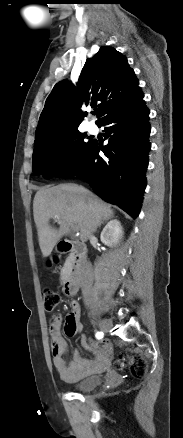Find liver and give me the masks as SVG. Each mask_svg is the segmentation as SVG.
<instances>
[{
	"mask_svg": "<svg viewBox=\"0 0 183 438\" xmlns=\"http://www.w3.org/2000/svg\"><path fill=\"white\" fill-rule=\"evenodd\" d=\"M34 221L38 231L39 246L44 257L51 254L62 236L75 226L80 238L88 240L104 219L113 217V210L88 189L77 184H60L37 191L33 201ZM58 217V218H57ZM57 219L59 229L49 225Z\"/></svg>",
	"mask_w": 183,
	"mask_h": 438,
	"instance_id": "liver-1",
	"label": "liver"
}]
</instances>
